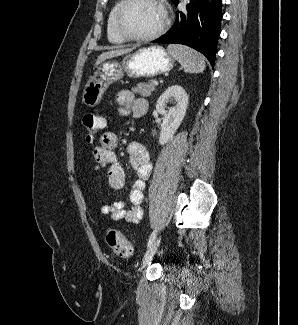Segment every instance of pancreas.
Segmentation results:
<instances>
[{"mask_svg": "<svg viewBox=\"0 0 298 325\" xmlns=\"http://www.w3.org/2000/svg\"><path fill=\"white\" fill-rule=\"evenodd\" d=\"M131 90L140 96H150L155 90V84H153V80H146V82H138L136 86H132Z\"/></svg>", "mask_w": 298, "mask_h": 325, "instance_id": "obj_1", "label": "pancreas"}]
</instances>
